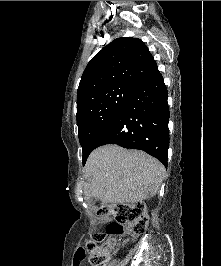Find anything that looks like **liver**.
<instances>
[{"label": "liver", "instance_id": "1", "mask_svg": "<svg viewBox=\"0 0 221 266\" xmlns=\"http://www.w3.org/2000/svg\"><path fill=\"white\" fill-rule=\"evenodd\" d=\"M164 176V166L148 154L106 145L88 157L84 195L107 204L138 203L158 192Z\"/></svg>", "mask_w": 221, "mask_h": 266}]
</instances>
